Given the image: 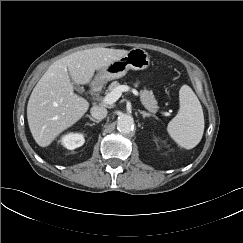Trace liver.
Here are the masks:
<instances>
[{
    "label": "liver",
    "instance_id": "1",
    "mask_svg": "<svg viewBox=\"0 0 243 243\" xmlns=\"http://www.w3.org/2000/svg\"><path fill=\"white\" fill-rule=\"evenodd\" d=\"M124 49L92 48L65 56L49 66L34 87L27 120L35 142L46 147L87 112L89 103L74 93L76 84L90 83L94 72L123 57Z\"/></svg>",
    "mask_w": 243,
    "mask_h": 243
}]
</instances>
